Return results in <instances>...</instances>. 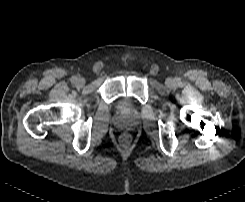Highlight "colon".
Returning a JSON list of instances; mask_svg holds the SVG:
<instances>
[{"mask_svg": "<svg viewBox=\"0 0 245 202\" xmlns=\"http://www.w3.org/2000/svg\"><path fill=\"white\" fill-rule=\"evenodd\" d=\"M123 140H124L125 142L130 141V136H129L128 134H124V135H123Z\"/></svg>", "mask_w": 245, "mask_h": 202, "instance_id": "1", "label": "colon"}]
</instances>
